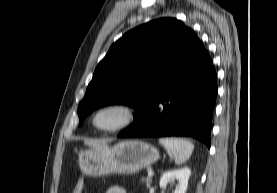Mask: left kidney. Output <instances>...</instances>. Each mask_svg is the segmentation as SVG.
Listing matches in <instances>:
<instances>
[{
  "label": "left kidney",
  "mask_w": 277,
  "mask_h": 193,
  "mask_svg": "<svg viewBox=\"0 0 277 193\" xmlns=\"http://www.w3.org/2000/svg\"><path fill=\"white\" fill-rule=\"evenodd\" d=\"M191 175V170L184 167L177 170H170L165 172L160 179V188L165 187L169 182L177 180L174 193H185L188 186V179Z\"/></svg>",
  "instance_id": "5707ae66"
}]
</instances>
